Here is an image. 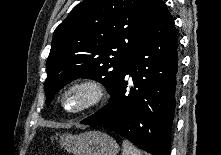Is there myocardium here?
Wrapping results in <instances>:
<instances>
[{
	"label": "myocardium",
	"mask_w": 221,
	"mask_h": 155,
	"mask_svg": "<svg viewBox=\"0 0 221 155\" xmlns=\"http://www.w3.org/2000/svg\"><path fill=\"white\" fill-rule=\"evenodd\" d=\"M83 94V102L76 108L66 106V98L74 93ZM106 97L105 85L96 78H81L69 83L61 92L59 103L61 108L69 114H81L87 112L103 102Z\"/></svg>",
	"instance_id": "f54148a6"
}]
</instances>
